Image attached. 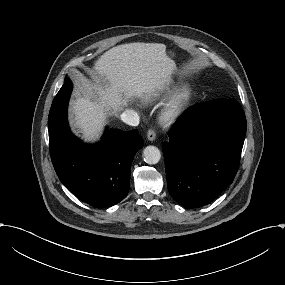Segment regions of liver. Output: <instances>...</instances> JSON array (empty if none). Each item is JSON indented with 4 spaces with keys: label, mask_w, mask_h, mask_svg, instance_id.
I'll return each mask as SVG.
<instances>
[{
    "label": "liver",
    "mask_w": 285,
    "mask_h": 285,
    "mask_svg": "<svg viewBox=\"0 0 285 285\" xmlns=\"http://www.w3.org/2000/svg\"><path fill=\"white\" fill-rule=\"evenodd\" d=\"M174 66L165 45L134 43L114 47L93 68L86 65L82 68L99 87L105 88L108 103L117 105V93L109 90V82L102 77L104 73L115 89L125 90L128 96H133L164 90L169 85ZM76 99L72 105L73 125L92 137L104 121L98 105L103 98L92 82L85 78L84 88L76 94Z\"/></svg>",
    "instance_id": "1"
}]
</instances>
